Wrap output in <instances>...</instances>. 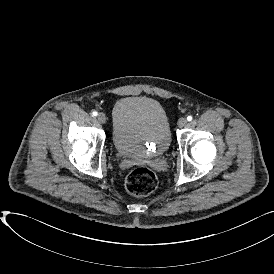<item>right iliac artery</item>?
Listing matches in <instances>:
<instances>
[{
    "label": "right iliac artery",
    "instance_id": "obj_1",
    "mask_svg": "<svg viewBox=\"0 0 274 274\" xmlns=\"http://www.w3.org/2000/svg\"><path fill=\"white\" fill-rule=\"evenodd\" d=\"M93 116H97L98 115V113L96 112V111H93Z\"/></svg>",
    "mask_w": 274,
    "mask_h": 274
}]
</instances>
